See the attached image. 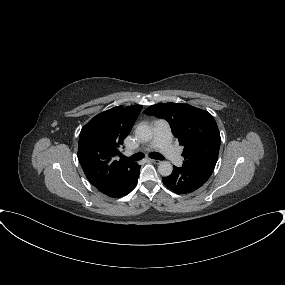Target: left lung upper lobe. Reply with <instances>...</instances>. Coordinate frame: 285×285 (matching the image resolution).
Wrapping results in <instances>:
<instances>
[{"instance_id":"1","label":"left lung upper lobe","mask_w":285,"mask_h":285,"mask_svg":"<svg viewBox=\"0 0 285 285\" xmlns=\"http://www.w3.org/2000/svg\"><path fill=\"white\" fill-rule=\"evenodd\" d=\"M145 114L164 118L184 146L183 166L216 165L221 143L214 117L189 104L162 103L150 106Z\"/></svg>"}]
</instances>
